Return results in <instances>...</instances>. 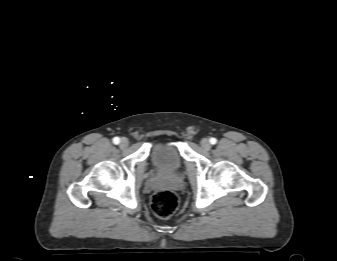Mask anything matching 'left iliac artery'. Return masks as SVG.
Instances as JSON below:
<instances>
[{"label":"left iliac artery","mask_w":337,"mask_h":261,"mask_svg":"<svg viewBox=\"0 0 337 261\" xmlns=\"http://www.w3.org/2000/svg\"><path fill=\"white\" fill-rule=\"evenodd\" d=\"M210 143L213 144V145L216 144L217 143V139L213 138V137L210 138Z\"/></svg>","instance_id":"1"}]
</instances>
